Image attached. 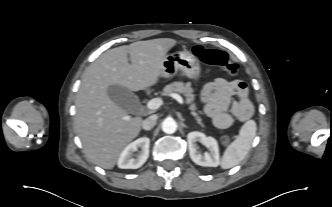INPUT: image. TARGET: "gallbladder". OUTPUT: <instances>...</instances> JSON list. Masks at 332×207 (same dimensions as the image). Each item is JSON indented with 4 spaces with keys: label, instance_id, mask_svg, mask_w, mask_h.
Masks as SVG:
<instances>
[{
    "label": "gallbladder",
    "instance_id": "obj_1",
    "mask_svg": "<svg viewBox=\"0 0 332 207\" xmlns=\"http://www.w3.org/2000/svg\"><path fill=\"white\" fill-rule=\"evenodd\" d=\"M111 100L128 112H136L139 105L138 97L127 88L119 85H111L108 88Z\"/></svg>",
    "mask_w": 332,
    "mask_h": 207
}]
</instances>
